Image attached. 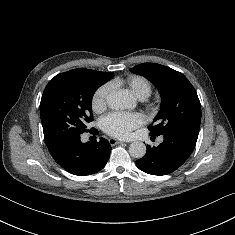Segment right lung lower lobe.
<instances>
[{"instance_id":"98d812e1","label":"right lung lower lobe","mask_w":235,"mask_h":235,"mask_svg":"<svg viewBox=\"0 0 235 235\" xmlns=\"http://www.w3.org/2000/svg\"><path fill=\"white\" fill-rule=\"evenodd\" d=\"M91 133H98L92 128ZM80 133H71L48 147L53 159L72 174L85 176L100 171L110 157L111 145L100 138L99 142L80 141Z\"/></svg>"}]
</instances>
